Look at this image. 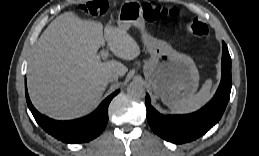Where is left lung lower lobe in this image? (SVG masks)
<instances>
[{
    "mask_svg": "<svg viewBox=\"0 0 259 156\" xmlns=\"http://www.w3.org/2000/svg\"><path fill=\"white\" fill-rule=\"evenodd\" d=\"M221 83L213 99L202 109L187 115H162L150 104L146 95L147 120L161 138L176 144L193 141L204 135L222 117L231 92V58L223 42Z\"/></svg>",
    "mask_w": 259,
    "mask_h": 156,
    "instance_id": "1",
    "label": "left lung lower lobe"
}]
</instances>
